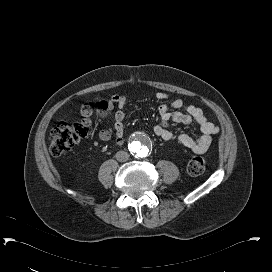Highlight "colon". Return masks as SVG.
Segmentation results:
<instances>
[{
    "instance_id": "colon-1",
    "label": "colon",
    "mask_w": 272,
    "mask_h": 272,
    "mask_svg": "<svg viewBox=\"0 0 272 272\" xmlns=\"http://www.w3.org/2000/svg\"><path fill=\"white\" fill-rule=\"evenodd\" d=\"M109 108L110 103L101 100L94 105L83 107L78 118L58 123L50 133V152L55 156L68 153L88 134L93 113L97 112L101 116H105ZM205 168V160L200 156L192 157L187 165L188 173L195 176L202 174Z\"/></svg>"
}]
</instances>
